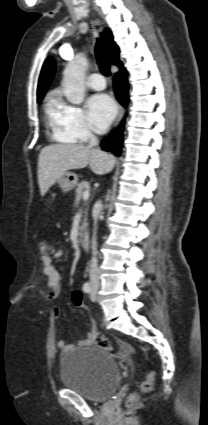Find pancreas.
<instances>
[{
	"label": "pancreas",
	"instance_id": "obj_1",
	"mask_svg": "<svg viewBox=\"0 0 208 425\" xmlns=\"http://www.w3.org/2000/svg\"><path fill=\"white\" fill-rule=\"evenodd\" d=\"M90 190V184L87 181H82L81 183L78 184L76 190H75V201L76 203H78L81 198H83V194L85 191H89ZM87 229V223H86V218L84 219L82 226L80 228V236H83L86 232Z\"/></svg>",
	"mask_w": 208,
	"mask_h": 425
}]
</instances>
